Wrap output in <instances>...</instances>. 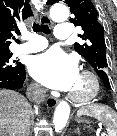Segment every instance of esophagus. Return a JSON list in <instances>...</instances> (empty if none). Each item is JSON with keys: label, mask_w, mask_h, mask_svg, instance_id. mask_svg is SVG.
<instances>
[{"label": "esophagus", "mask_w": 117, "mask_h": 136, "mask_svg": "<svg viewBox=\"0 0 117 136\" xmlns=\"http://www.w3.org/2000/svg\"><path fill=\"white\" fill-rule=\"evenodd\" d=\"M40 22L43 23V24H49V25L52 24V21H51L47 12H43L40 15ZM46 103H47L48 107L53 108L57 105L58 100L54 97L49 96L46 99Z\"/></svg>", "instance_id": "34e87169"}]
</instances>
